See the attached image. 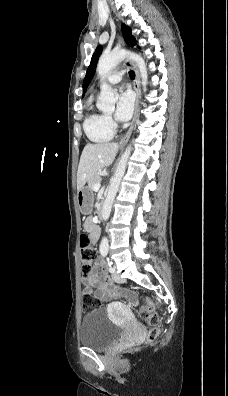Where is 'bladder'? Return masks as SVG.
Here are the masks:
<instances>
[{"label": "bladder", "instance_id": "bladder-1", "mask_svg": "<svg viewBox=\"0 0 228 396\" xmlns=\"http://www.w3.org/2000/svg\"><path fill=\"white\" fill-rule=\"evenodd\" d=\"M121 336V329L113 324L102 309L87 313L79 329V342L82 346L98 351L107 350Z\"/></svg>", "mask_w": 228, "mask_h": 396}]
</instances>
